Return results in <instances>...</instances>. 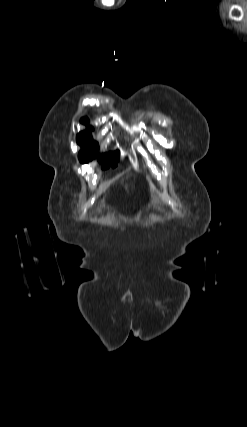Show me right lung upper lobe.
<instances>
[{
    "mask_svg": "<svg viewBox=\"0 0 247 427\" xmlns=\"http://www.w3.org/2000/svg\"><path fill=\"white\" fill-rule=\"evenodd\" d=\"M81 122H82L83 124H88V120H87L86 118L81 119Z\"/></svg>",
    "mask_w": 247,
    "mask_h": 427,
    "instance_id": "cb5924a9",
    "label": "right lung upper lobe"
}]
</instances>
